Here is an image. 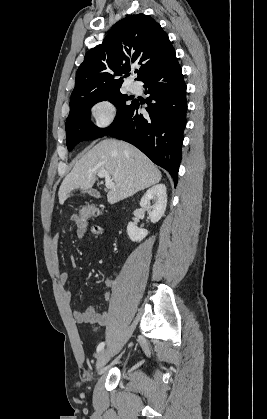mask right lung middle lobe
<instances>
[{
	"mask_svg": "<svg viewBox=\"0 0 267 419\" xmlns=\"http://www.w3.org/2000/svg\"><path fill=\"white\" fill-rule=\"evenodd\" d=\"M109 100L117 108L113 123L107 128H98L90 120L91 107L97 102ZM123 95L120 90L88 95L70 102V113L66 122V144L71 151L79 142L104 136L109 128L121 120L133 106L135 100Z\"/></svg>",
	"mask_w": 267,
	"mask_h": 419,
	"instance_id": "right-lung-middle-lobe-1",
	"label": "right lung middle lobe"
}]
</instances>
